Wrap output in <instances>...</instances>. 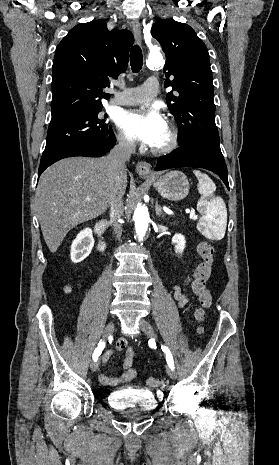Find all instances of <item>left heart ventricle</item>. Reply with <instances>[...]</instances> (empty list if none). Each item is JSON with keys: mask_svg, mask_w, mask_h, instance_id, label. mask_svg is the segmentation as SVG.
Segmentation results:
<instances>
[{"mask_svg": "<svg viewBox=\"0 0 279 465\" xmlns=\"http://www.w3.org/2000/svg\"><path fill=\"white\" fill-rule=\"evenodd\" d=\"M169 138H170V132H169L168 126L166 125V127L164 128V130L160 134L157 141L153 144V147H162V146L166 145L168 143V141H169Z\"/></svg>", "mask_w": 279, "mask_h": 465, "instance_id": "obj_1", "label": "left heart ventricle"}]
</instances>
